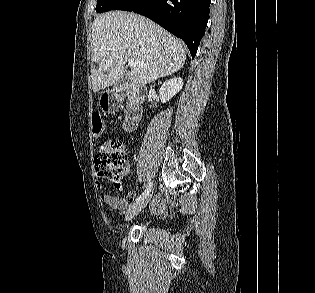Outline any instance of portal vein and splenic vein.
<instances>
[{
  "label": "portal vein and splenic vein",
  "instance_id": "1",
  "mask_svg": "<svg viewBox=\"0 0 315 293\" xmlns=\"http://www.w3.org/2000/svg\"><path fill=\"white\" fill-rule=\"evenodd\" d=\"M136 65H141V64H138L137 62H135L134 59H128V66L134 67Z\"/></svg>",
  "mask_w": 315,
  "mask_h": 293
}]
</instances>
